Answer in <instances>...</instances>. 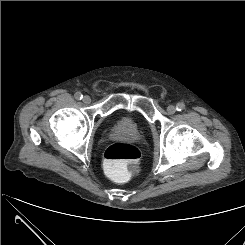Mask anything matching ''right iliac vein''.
<instances>
[{"label": "right iliac vein", "mask_w": 245, "mask_h": 245, "mask_svg": "<svg viewBox=\"0 0 245 245\" xmlns=\"http://www.w3.org/2000/svg\"><path fill=\"white\" fill-rule=\"evenodd\" d=\"M82 100L85 104L91 103V97L88 95H85Z\"/></svg>", "instance_id": "1"}]
</instances>
